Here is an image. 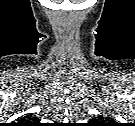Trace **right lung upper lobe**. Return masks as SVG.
Wrapping results in <instances>:
<instances>
[{"label": "right lung upper lobe", "instance_id": "obj_1", "mask_svg": "<svg viewBox=\"0 0 135 126\" xmlns=\"http://www.w3.org/2000/svg\"><path fill=\"white\" fill-rule=\"evenodd\" d=\"M28 121H34V122H38L39 121V119L38 118H35V117H32V116H28ZM21 124H26V125H28V124H33V123H21ZM35 124V123H34Z\"/></svg>", "mask_w": 135, "mask_h": 126}]
</instances>
